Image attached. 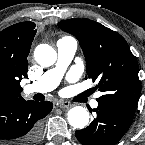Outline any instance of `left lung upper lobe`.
I'll list each match as a JSON object with an SVG mask.
<instances>
[{
  "instance_id": "left-lung-upper-lobe-1",
  "label": "left lung upper lobe",
  "mask_w": 145,
  "mask_h": 145,
  "mask_svg": "<svg viewBox=\"0 0 145 145\" xmlns=\"http://www.w3.org/2000/svg\"><path fill=\"white\" fill-rule=\"evenodd\" d=\"M58 26L79 40L86 57L87 77L99 80L97 87L103 92L98 104L133 117L140 81L137 59L125 39L89 19L64 20Z\"/></svg>"
}]
</instances>
